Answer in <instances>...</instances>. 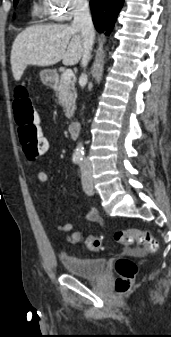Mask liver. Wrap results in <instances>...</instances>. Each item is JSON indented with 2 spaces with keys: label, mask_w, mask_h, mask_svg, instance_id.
I'll return each mask as SVG.
<instances>
[{
  "label": "liver",
  "mask_w": 171,
  "mask_h": 337,
  "mask_svg": "<svg viewBox=\"0 0 171 337\" xmlns=\"http://www.w3.org/2000/svg\"><path fill=\"white\" fill-rule=\"evenodd\" d=\"M80 29L66 24L36 25L22 31L11 50L13 77L19 81L28 65L50 66L62 60L75 65L83 53Z\"/></svg>",
  "instance_id": "1"
}]
</instances>
